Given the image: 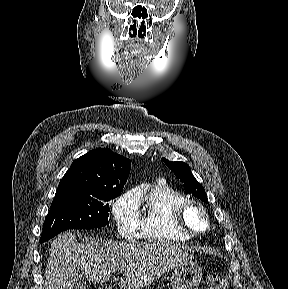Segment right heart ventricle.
I'll return each mask as SVG.
<instances>
[{"instance_id":"e07e8e85","label":"right heart ventricle","mask_w":288,"mask_h":289,"mask_svg":"<svg viewBox=\"0 0 288 289\" xmlns=\"http://www.w3.org/2000/svg\"><path fill=\"white\" fill-rule=\"evenodd\" d=\"M187 197L179 190L159 181L134 195L139 220L138 235L156 243L174 244L190 240L173 220L174 207Z\"/></svg>"}]
</instances>
